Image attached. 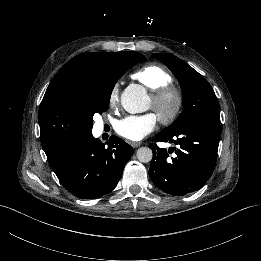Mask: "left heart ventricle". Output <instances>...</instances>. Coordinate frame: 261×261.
<instances>
[{"label": "left heart ventricle", "mask_w": 261, "mask_h": 261, "mask_svg": "<svg viewBox=\"0 0 261 261\" xmlns=\"http://www.w3.org/2000/svg\"><path fill=\"white\" fill-rule=\"evenodd\" d=\"M171 105V102H166L165 104H164V108H168L169 106ZM151 106V102H150V104H149V107Z\"/></svg>", "instance_id": "1"}]
</instances>
